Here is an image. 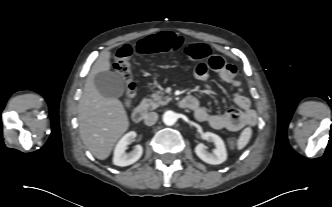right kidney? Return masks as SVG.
<instances>
[{"label": "right kidney", "mask_w": 332, "mask_h": 207, "mask_svg": "<svg viewBox=\"0 0 332 207\" xmlns=\"http://www.w3.org/2000/svg\"><path fill=\"white\" fill-rule=\"evenodd\" d=\"M137 136L136 132L131 131L125 134L117 143L114 156L113 164L117 166H128L140 159L143 153V148L140 145H137L130 153L126 152L127 145L135 139Z\"/></svg>", "instance_id": "obj_1"}]
</instances>
